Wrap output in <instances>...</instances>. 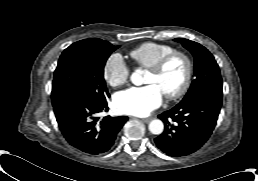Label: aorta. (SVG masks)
<instances>
[{
	"label": "aorta",
	"mask_w": 258,
	"mask_h": 181,
	"mask_svg": "<svg viewBox=\"0 0 258 181\" xmlns=\"http://www.w3.org/2000/svg\"><path fill=\"white\" fill-rule=\"evenodd\" d=\"M130 79L134 85H137V86L142 85L143 84V71L141 69L135 70L132 73ZM148 129L152 134L159 135L164 130L163 122L159 119L152 120L149 123Z\"/></svg>",
	"instance_id": "aorta-1"
}]
</instances>
